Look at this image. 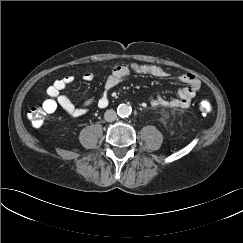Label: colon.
Returning <instances> with one entry per match:
<instances>
[{"mask_svg":"<svg viewBox=\"0 0 243 243\" xmlns=\"http://www.w3.org/2000/svg\"><path fill=\"white\" fill-rule=\"evenodd\" d=\"M57 108V104L52 99H46L43 102L36 104L28 111V119L31 124L39 128L43 125L48 114L53 113ZM212 105L207 100H202L199 103V110L203 114H209L212 111Z\"/></svg>","mask_w":243,"mask_h":243,"instance_id":"5ec220e1","label":"colon"}]
</instances>
